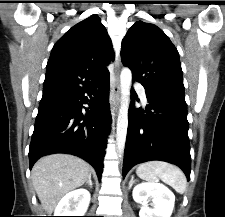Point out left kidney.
Returning <instances> with one entry per match:
<instances>
[{
    "label": "left kidney",
    "instance_id": "obj_1",
    "mask_svg": "<svg viewBox=\"0 0 225 217\" xmlns=\"http://www.w3.org/2000/svg\"><path fill=\"white\" fill-rule=\"evenodd\" d=\"M135 202L143 204L140 217H170L174 208L175 196L163 184L141 183L132 192ZM149 200L152 201L150 208Z\"/></svg>",
    "mask_w": 225,
    "mask_h": 217
}]
</instances>
